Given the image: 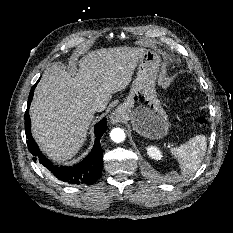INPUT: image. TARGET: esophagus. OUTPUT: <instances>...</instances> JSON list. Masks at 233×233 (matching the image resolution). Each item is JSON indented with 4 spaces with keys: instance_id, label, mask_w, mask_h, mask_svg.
<instances>
[{
    "instance_id": "obj_1",
    "label": "esophagus",
    "mask_w": 233,
    "mask_h": 233,
    "mask_svg": "<svg viewBox=\"0 0 233 233\" xmlns=\"http://www.w3.org/2000/svg\"><path fill=\"white\" fill-rule=\"evenodd\" d=\"M110 119L113 123H118L121 121V115L117 111L113 112L110 116Z\"/></svg>"
}]
</instances>
